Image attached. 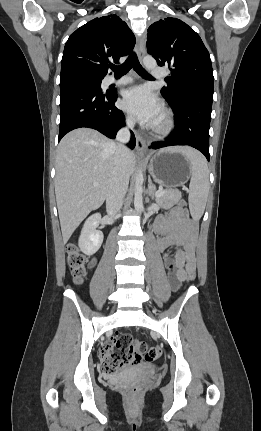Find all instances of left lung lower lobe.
I'll list each match as a JSON object with an SVG mask.
<instances>
[{
	"instance_id": "0a47b994",
	"label": "left lung lower lobe",
	"mask_w": 261,
	"mask_h": 431,
	"mask_svg": "<svg viewBox=\"0 0 261 431\" xmlns=\"http://www.w3.org/2000/svg\"><path fill=\"white\" fill-rule=\"evenodd\" d=\"M213 99L187 97L171 105L175 117V128L165 141L154 142L152 149L167 146L188 145L202 152L209 161V126Z\"/></svg>"
}]
</instances>
